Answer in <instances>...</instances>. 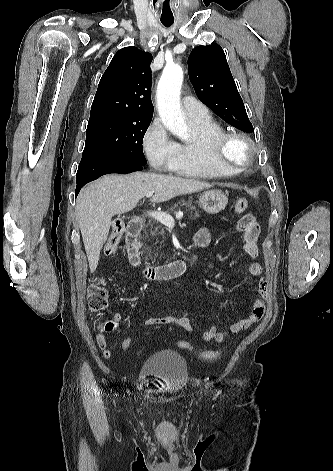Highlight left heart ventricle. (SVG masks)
I'll use <instances>...</instances> for the list:
<instances>
[{
	"label": "left heart ventricle",
	"mask_w": 333,
	"mask_h": 471,
	"mask_svg": "<svg viewBox=\"0 0 333 471\" xmlns=\"http://www.w3.org/2000/svg\"><path fill=\"white\" fill-rule=\"evenodd\" d=\"M229 156L234 160H241L243 158V150L238 145L231 146Z\"/></svg>",
	"instance_id": "left-heart-ventricle-1"
}]
</instances>
